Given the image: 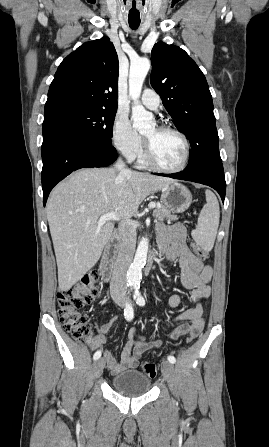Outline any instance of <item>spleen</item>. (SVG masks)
<instances>
[{"instance_id": "spleen-1", "label": "spleen", "mask_w": 269, "mask_h": 447, "mask_svg": "<svg viewBox=\"0 0 269 447\" xmlns=\"http://www.w3.org/2000/svg\"><path fill=\"white\" fill-rule=\"evenodd\" d=\"M205 196L207 204L203 206L196 229H192L191 235L202 249L211 251L217 235L220 210L218 200L211 190H205Z\"/></svg>"}]
</instances>
